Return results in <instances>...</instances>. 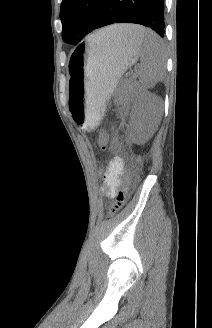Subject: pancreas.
<instances>
[{
  "label": "pancreas",
  "instance_id": "cf45deb5",
  "mask_svg": "<svg viewBox=\"0 0 212 328\" xmlns=\"http://www.w3.org/2000/svg\"><path fill=\"white\" fill-rule=\"evenodd\" d=\"M127 88L130 90V89H133L132 85H130V82H127Z\"/></svg>",
  "mask_w": 212,
  "mask_h": 328
}]
</instances>
